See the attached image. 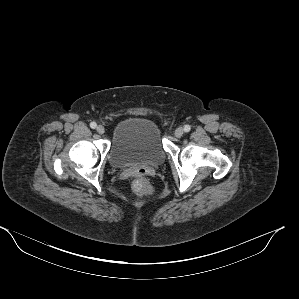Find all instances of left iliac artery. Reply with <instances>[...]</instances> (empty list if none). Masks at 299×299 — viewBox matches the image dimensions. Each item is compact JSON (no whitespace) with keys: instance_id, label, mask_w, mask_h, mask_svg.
Segmentation results:
<instances>
[{"instance_id":"44dca946","label":"left iliac artery","mask_w":299,"mask_h":299,"mask_svg":"<svg viewBox=\"0 0 299 299\" xmlns=\"http://www.w3.org/2000/svg\"><path fill=\"white\" fill-rule=\"evenodd\" d=\"M190 129H191V128H190V126H189V125H185V126H184V131H185V132H189V131H190Z\"/></svg>"}]
</instances>
